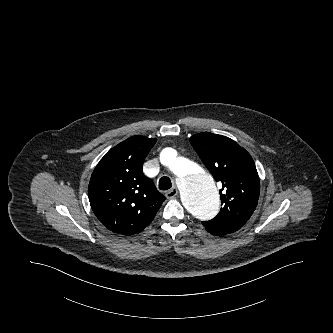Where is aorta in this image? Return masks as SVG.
<instances>
[{
    "label": "aorta",
    "mask_w": 333,
    "mask_h": 333,
    "mask_svg": "<svg viewBox=\"0 0 333 333\" xmlns=\"http://www.w3.org/2000/svg\"><path fill=\"white\" fill-rule=\"evenodd\" d=\"M160 161L177 176L181 201L186 210L201 221L209 220L218 213L220 197L209 173L201 170L192 160L178 157L172 148L161 152Z\"/></svg>",
    "instance_id": "obj_1"
}]
</instances>
